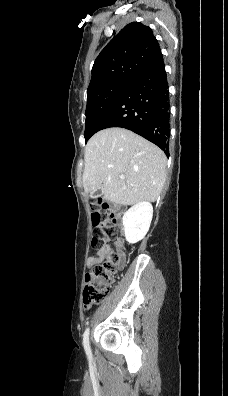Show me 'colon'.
I'll return each mask as SVG.
<instances>
[{"mask_svg":"<svg viewBox=\"0 0 228 396\" xmlns=\"http://www.w3.org/2000/svg\"><path fill=\"white\" fill-rule=\"evenodd\" d=\"M100 209L91 214L94 226L92 245L94 247L111 246L106 260L96 265L85 276L83 303L86 308L101 302L108 294L114 278L117 275L123 254L119 241L111 242L115 234V226L120 224V212L117 208L105 201H100Z\"/></svg>","mask_w":228,"mask_h":396,"instance_id":"5ec220e1","label":"colon"}]
</instances>
